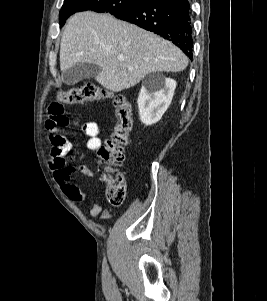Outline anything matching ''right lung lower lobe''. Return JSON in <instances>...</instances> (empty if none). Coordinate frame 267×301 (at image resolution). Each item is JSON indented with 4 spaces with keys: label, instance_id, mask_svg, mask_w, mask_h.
<instances>
[{
    "label": "right lung lower lobe",
    "instance_id": "98d812e1",
    "mask_svg": "<svg viewBox=\"0 0 267 301\" xmlns=\"http://www.w3.org/2000/svg\"><path fill=\"white\" fill-rule=\"evenodd\" d=\"M115 17L173 42L192 59V21L188 0H145Z\"/></svg>",
    "mask_w": 267,
    "mask_h": 301
}]
</instances>
